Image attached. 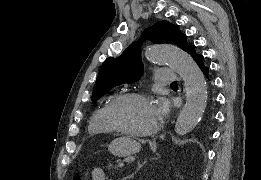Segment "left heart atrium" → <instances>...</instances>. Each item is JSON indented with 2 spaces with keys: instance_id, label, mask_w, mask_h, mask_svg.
Returning a JSON list of instances; mask_svg holds the SVG:
<instances>
[{
  "instance_id": "39dd6f15",
  "label": "left heart atrium",
  "mask_w": 261,
  "mask_h": 180,
  "mask_svg": "<svg viewBox=\"0 0 261 180\" xmlns=\"http://www.w3.org/2000/svg\"><path fill=\"white\" fill-rule=\"evenodd\" d=\"M157 103H158L159 105H165V104L167 103V101H166L165 98L160 97V98L157 99Z\"/></svg>"
}]
</instances>
